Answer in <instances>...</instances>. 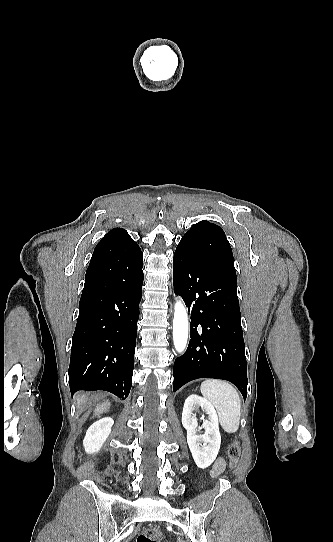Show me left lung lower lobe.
I'll use <instances>...</instances> for the list:
<instances>
[{
  "instance_id": "1",
  "label": "left lung lower lobe",
  "mask_w": 333,
  "mask_h": 542,
  "mask_svg": "<svg viewBox=\"0 0 333 542\" xmlns=\"http://www.w3.org/2000/svg\"><path fill=\"white\" fill-rule=\"evenodd\" d=\"M174 292L191 315L190 342L174 363L173 391L198 378L232 382L247 396V364L236 273L200 261L178 244L173 258Z\"/></svg>"
}]
</instances>
